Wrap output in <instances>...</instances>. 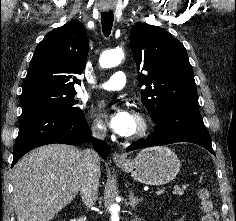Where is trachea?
<instances>
[{
    "label": "trachea",
    "instance_id": "3493384b",
    "mask_svg": "<svg viewBox=\"0 0 236 221\" xmlns=\"http://www.w3.org/2000/svg\"><path fill=\"white\" fill-rule=\"evenodd\" d=\"M113 20H114V14L112 11L103 12L101 14L102 31L105 37H108L111 33Z\"/></svg>",
    "mask_w": 236,
    "mask_h": 221
}]
</instances>
